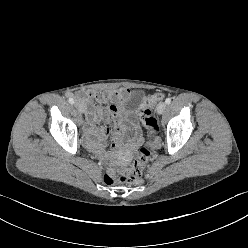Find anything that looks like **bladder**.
I'll return each mask as SVG.
<instances>
[{
  "label": "bladder",
  "mask_w": 248,
  "mask_h": 248,
  "mask_svg": "<svg viewBox=\"0 0 248 248\" xmlns=\"http://www.w3.org/2000/svg\"><path fill=\"white\" fill-rule=\"evenodd\" d=\"M141 98H142V93L141 92L136 93L130 100H128L125 103L124 105L125 110L128 112H134L138 108Z\"/></svg>",
  "instance_id": "bladder-1"
}]
</instances>
